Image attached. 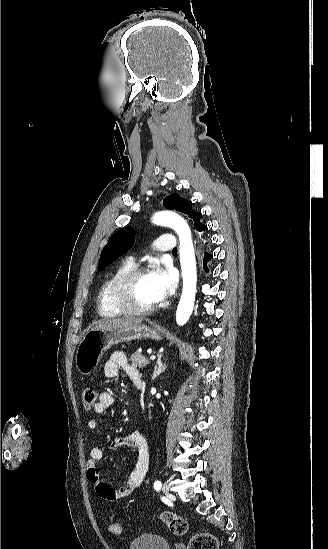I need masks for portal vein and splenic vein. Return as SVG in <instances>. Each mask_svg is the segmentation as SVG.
Masks as SVG:
<instances>
[{"mask_svg": "<svg viewBox=\"0 0 328 549\" xmlns=\"http://www.w3.org/2000/svg\"><path fill=\"white\" fill-rule=\"evenodd\" d=\"M150 359H155V356H150Z\"/></svg>", "mask_w": 328, "mask_h": 549, "instance_id": "18ae733b", "label": "portal vein and splenic vein"}]
</instances>
